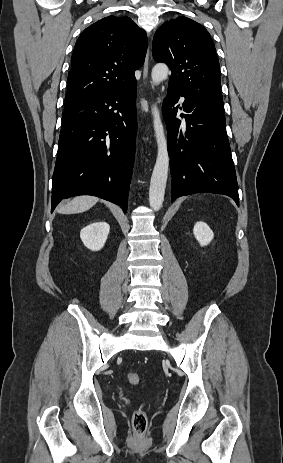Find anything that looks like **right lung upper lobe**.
Segmentation results:
<instances>
[{"mask_svg": "<svg viewBox=\"0 0 283 463\" xmlns=\"http://www.w3.org/2000/svg\"><path fill=\"white\" fill-rule=\"evenodd\" d=\"M146 51L145 32L127 16L90 25L75 44L64 109L136 82Z\"/></svg>", "mask_w": 283, "mask_h": 463, "instance_id": "right-lung-upper-lobe-1", "label": "right lung upper lobe"}]
</instances>
